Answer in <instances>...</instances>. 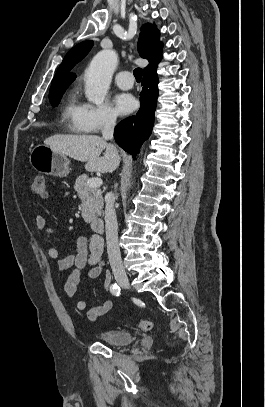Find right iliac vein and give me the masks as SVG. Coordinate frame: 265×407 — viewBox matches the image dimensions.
Returning a JSON list of instances; mask_svg holds the SVG:
<instances>
[{"instance_id":"1","label":"right iliac vein","mask_w":265,"mask_h":407,"mask_svg":"<svg viewBox=\"0 0 265 407\" xmlns=\"http://www.w3.org/2000/svg\"><path fill=\"white\" fill-rule=\"evenodd\" d=\"M117 282L120 286L129 289L130 288V284H129V280L127 277H120L117 278Z\"/></svg>"}]
</instances>
